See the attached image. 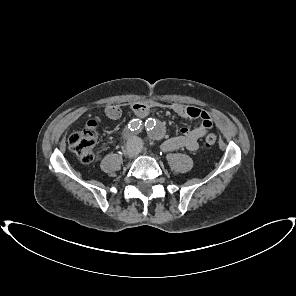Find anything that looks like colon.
<instances>
[{
  "label": "colon",
  "mask_w": 296,
  "mask_h": 296,
  "mask_svg": "<svg viewBox=\"0 0 296 296\" xmlns=\"http://www.w3.org/2000/svg\"><path fill=\"white\" fill-rule=\"evenodd\" d=\"M216 141V136L209 134L205 138V145L213 146ZM96 142L97 124L95 121H89L84 128L70 135L68 146L81 162L91 163L97 158V152L95 150Z\"/></svg>",
  "instance_id": "5ec220e1"
}]
</instances>
